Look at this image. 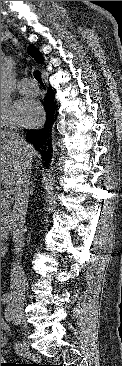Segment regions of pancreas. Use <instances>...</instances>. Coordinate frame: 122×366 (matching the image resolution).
<instances>
[{
  "label": "pancreas",
  "instance_id": "cf45deb5",
  "mask_svg": "<svg viewBox=\"0 0 122 366\" xmlns=\"http://www.w3.org/2000/svg\"><path fill=\"white\" fill-rule=\"evenodd\" d=\"M10 200L1 198V240L7 238L8 235V213Z\"/></svg>",
  "mask_w": 122,
  "mask_h": 366
}]
</instances>
